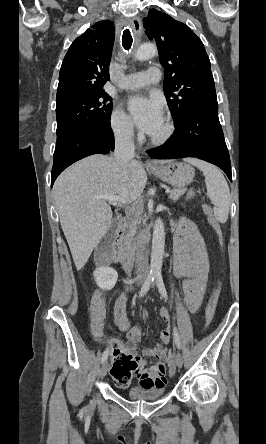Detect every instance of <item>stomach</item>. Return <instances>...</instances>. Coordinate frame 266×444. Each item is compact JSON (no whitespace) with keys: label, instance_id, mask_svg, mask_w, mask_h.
Listing matches in <instances>:
<instances>
[{"label":"stomach","instance_id":"1","mask_svg":"<svg viewBox=\"0 0 266 444\" xmlns=\"http://www.w3.org/2000/svg\"><path fill=\"white\" fill-rule=\"evenodd\" d=\"M150 171L157 178L177 188H183L189 185L195 175L193 167L177 161H170L157 168H152Z\"/></svg>","mask_w":266,"mask_h":444}]
</instances>
